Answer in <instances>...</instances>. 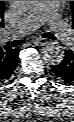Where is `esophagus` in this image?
<instances>
[{"label": "esophagus", "mask_w": 74, "mask_h": 122, "mask_svg": "<svg viewBox=\"0 0 74 122\" xmlns=\"http://www.w3.org/2000/svg\"><path fill=\"white\" fill-rule=\"evenodd\" d=\"M48 41L44 38H37L36 40H34V45H37V46H43L47 43Z\"/></svg>", "instance_id": "1"}]
</instances>
